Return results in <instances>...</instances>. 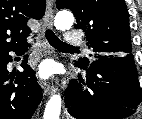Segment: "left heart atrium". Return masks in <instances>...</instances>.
<instances>
[{
	"instance_id": "left-heart-atrium-1",
	"label": "left heart atrium",
	"mask_w": 142,
	"mask_h": 119,
	"mask_svg": "<svg viewBox=\"0 0 142 119\" xmlns=\"http://www.w3.org/2000/svg\"><path fill=\"white\" fill-rule=\"evenodd\" d=\"M40 74L44 78H46V77H48L50 75V69H49V66L47 64H44L41 67Z\"/></svg>"
}]
</instances>
